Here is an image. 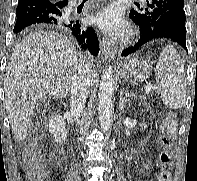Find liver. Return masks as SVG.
<instances>
[{
	"label": "liver",
	"instance_id": "liver-1",
	"mask_svg": "<svg viewBox=\"0 0 197 181\" xmlns=\"http://www.w3.org/2000/svg\"><path fill=\"white\" fill-rule=\"evenodd\" d=\"M82 60L71 41L56 32L30 33L16 45L7 66L4 91L12 132L19 140L30 134L35 104L44 95H68Z\"/></svg>",
	"mask_w": 197,
	"mask_h": 181
}]
</instances>
